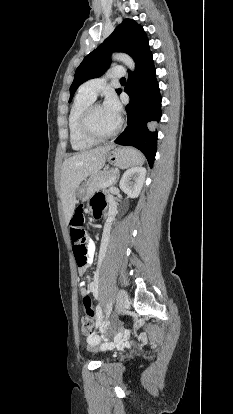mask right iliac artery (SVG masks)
<instances>
[{
    "label": "right iliac artery",
    "mask_w": 233,
    "mask_h": 414,
    "mask_svg": "<svg viewBox=\"0 0 233 414\" xmlns=\"http://www.w3.org/2000/svg\"><path fill=\"white\" fill-rule=\"evenodd\" d=\"M105 250H106V246H104V245L102 244V246H101V253L103 254V253L105 252Z\"/></svg>",
    "instance_id": "1"
}]
</instances>
